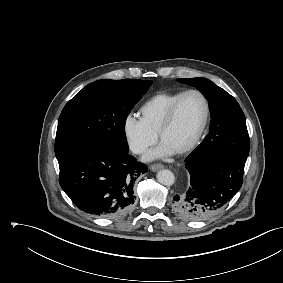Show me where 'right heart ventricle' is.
Returning <instances> with one entry per match:
<instances>
[{
    "mask_svg": "<svg viewBox=\"0 0 283 283\" xmlns=\"http://www.w3.org/2000/svg\"><path fill=\"white\" fill-rule=\"evenodd\" d=\"M179 91H161L146 100L140 108L141 119L150 131H158L174 101L183 93Z\"/></svg>",
    "mask_w": 283,
    "mask_h": 283,
    "instance_id": "right-heart-ventricle-1",
    "label": "right heart ventricle"
}]
</instances>
